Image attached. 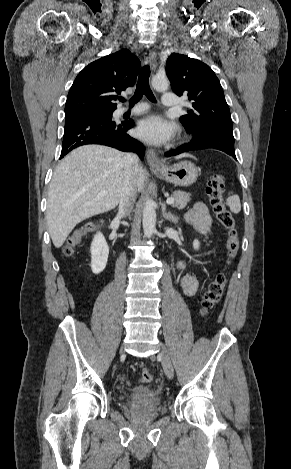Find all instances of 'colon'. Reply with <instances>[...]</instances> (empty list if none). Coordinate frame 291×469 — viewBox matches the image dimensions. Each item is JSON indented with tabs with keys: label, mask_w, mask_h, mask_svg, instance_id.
I'll list each match as a JSON object with an SVG mask.
<instances>
[{
	"label": "colon",
	"mask_w": 291,
	"mask_h": 469,
	"mask_svg": "<svg viewBox=\"0 0 291 469\" xmlns=\"http://www.w3.org/2000/svg\"><path fill=\"white\" fill-rule=\"evenodd\" d=\"M224 182L225 179L222 174H214L209 180L207 193L217 220L227 231L226 256L227 262L230 263L234 260L238 253L239 239L234 219L224 204ZM94 226V223H86L83 226L79 227L77 230H75V232L71 235L67 244L64 247L65 253L67 255H70L73 252L75 246L79 244L81 239L86 234H88L94 228ZM226 283V274L218 273L214 277V279L208 284L207 289L203 295L201 304V313L203 316L209 315L214 310L216 305L220 302L225 290ZM152 378L153 376L149 369L144 368L140 371L141 382L150 383L152 381Z\"/></svg>",
	"instance_id": "colon-1"
}]
</instances>
